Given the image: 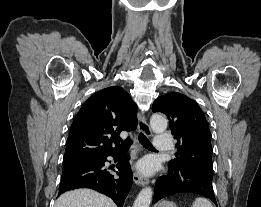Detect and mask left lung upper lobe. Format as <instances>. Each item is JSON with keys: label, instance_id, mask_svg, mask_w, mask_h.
Returning <instances> with one entry per match:
<instances>
[{"label": "left lung upper lobe", "instance_id": "1", "mask_svg": "<svg viewBox=\"0 0 261 207\" xmlns=\"http://www.w3.org/2000/svg\"><path fill=\"white\" fill-rule=\"evenodd\" d=\"M153 112H162L169 119L171 133L178 140L176 158L169 169H186L213 179L211 133L199 105L181 93L158 97Z\"/></svg>", "mask_w": 261, "mask_h": 207}]
</instances>
